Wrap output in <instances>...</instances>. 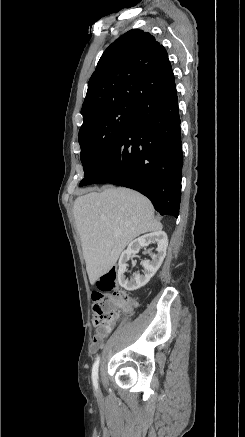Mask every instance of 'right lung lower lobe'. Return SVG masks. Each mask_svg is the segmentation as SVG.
<instances>
[{"mask_svg":"<svg viewBox=\"0 0 245 437\" xmlns=\"http://www.w3.org/2000/svg\"><path fill=\"white\" fill-rule=\"evenodd\" d=\"M183 152L177 91L139 102L111 153L79 186L112 183L139 191L161 215H179Z\"/></svg>","mask_w":245,"mask_h":437,"instance_id":"98d812e1","label":"right lung lower lobe"}]
</instances>
